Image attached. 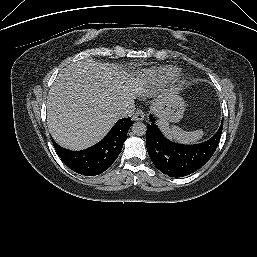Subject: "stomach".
Instances as JSON below:
<instances>
[{
  "label": "stomach",
  "instance_id": "0dacf381",
  "mask_svg": "<svg viewBox=\"0 0 257 257\" xmlns=\"http://www.w3.org/2000/svg\"><path fill=\"white\" fill-rule=\"evenodd\" d=\"M159 118V124L166 122H179L185 111V102L175 92H166L164 100L153 108Z\"/></svg>",
  "mask_w": 257,
  "mask_h": 257
}]
</instances>
